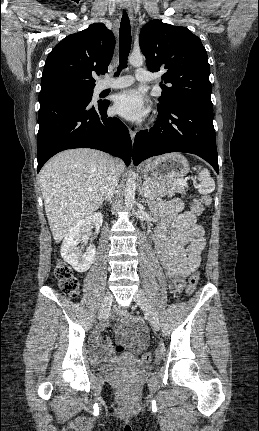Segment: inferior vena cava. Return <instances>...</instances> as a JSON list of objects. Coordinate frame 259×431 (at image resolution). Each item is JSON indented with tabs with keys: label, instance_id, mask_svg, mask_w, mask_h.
I'll list each match as a JSON object with an SVG mask.
<instances>
[{
	"label": "inferior vena cava",
	"instance_id": "inferior-vena-cava-1",
	"mask_svg": "<svg viewBox=\"0 0 259 431\" xmlns=\"http://www.w3.org/2000/svg\"><path fill=\"white\" fill-rule=\"evenodd\" d=\"M111 167L109 169V172L107 174V181L105 186V199L110 200L113 197V194L115 192V189L119 182V172L116 169L115 163L116 161L114 159H110Z\"/></svg>",
	"mask_w": 259,
	"mask_h": 431
}]
</instances>
